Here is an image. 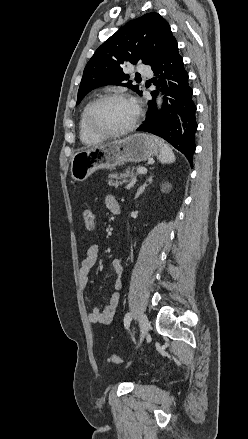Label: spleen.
I'll return each instance as SVG.
<instances>
[{
	"label": "spleen",
	"mask_w": 248,
	"mask_h": 439,
	"mask_svg": "<svg viewBox=\"0 0 248 439\" xmlns=\"http://www.w3.org/2000/svg\"><path fill=\"white\" fill-rule=\"evenodd\" d=\"M159 160L163 164H170L175 161V155L168 145L164 144V146L162 147L159 154Z\"/></svg>",
	"instance_id": "1"
}]
</instances>
